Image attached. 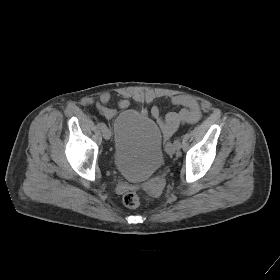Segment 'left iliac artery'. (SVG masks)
I'll return each mask as SVG.
<instances>
[{
    "label": "left iliac artery",
    "instance_id": "44dca946",
    "mask_svg": "<svg viewBox=\"0 0 280 280\" xmlns=\"http://www.w3.org/2000/svg\"><path fill=\"white\" fill-rule=\"evenodd\" d=\"M174 144H175V146H176L177 148H180L181 143H180V140H179V139H176V140L174 141Z\"/></svg>",
    "mask_w": 280,
    "mask_h": 280
}]
</instances>
